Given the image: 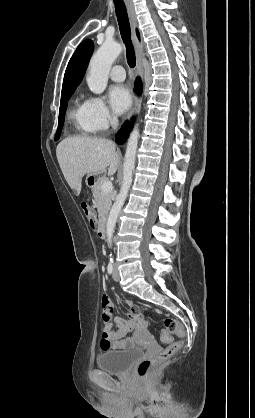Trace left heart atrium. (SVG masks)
Wrapping results in <instances>:
<instances>
[{
    "label": "left heart atrium",
    "instance_id": "39dd6f15",
    "mask_svg": "<svg viewBox=\"0 0 255 418\" xmlns=\"http://www.w3.org/2000/svg\"><path fill=\"white\" fill-rule=\"evenodd\" d=\"M109 101L116 113H124L131 106V95L123 85H114L109 90Z\"/></svg>",
    "mask_w": 255,
    "mask_h": 418
}]
</instances>
